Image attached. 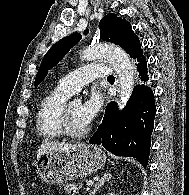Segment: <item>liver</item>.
<instances>
[{
    "instance_id": "obj_1",
    "label": "liver",
    "mask_w": 189,
    "mask_h": 195,
    "mask_svg": "<svg viewBox=\"0 0 189 195\" xmlns=\"http://www.w3.org/2000/svg\"><path fill=\"white\" fill-rule=\"evenodd\" d=\"M84 146L85 144H67L60 142L44 141L37 150V158H40L42 155L48 152L74 150L77 148H82Z\"/></svg>"
}]
</instances>
